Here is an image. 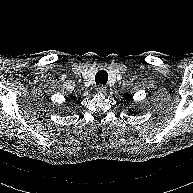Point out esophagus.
<instances>
[{
    "instance_id": "34e87169",
    "label": "esophagus",
    "mask_w": 193,
    "mask_h": 193,
    "mask_svg": "<svg viewBox=\"0 0 193 193\" xmlns=\"http://www.w3.org/2000/svg\"><path fill=\"white\" fill-rule=\"evenodd\" d=\"M96 90H97V92L98 93H105L106 92V90H107V88H106V86H104V85H98L97 87H96Z\"/></svg>"
}]
</instances>
